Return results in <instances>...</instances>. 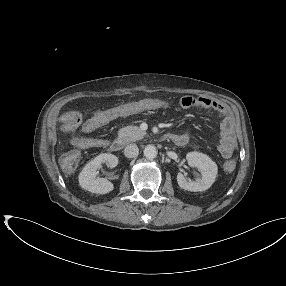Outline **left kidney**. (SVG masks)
<instances>
[{
    "label": "left kidney",
    "mask_w": 286,
    "mask_h": 286,
    "mask_svg": "<svg viewBox=\"0 0 286 286\" xmlns=\"http://www.w3.org/2000/svg\"><path fill=\"white\" fill-rule=\"evenodd\" d=\"M186 160L191 167H196L200 170L202 176L196 181H188L182 173H178V185L187 191H205L212 186L217 176L218 168L214 161L209 156L200 152H189L186 155Z\"/></svg>",
    "instance_id": "1"
}]
</instances>
